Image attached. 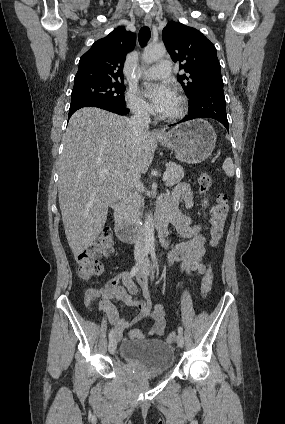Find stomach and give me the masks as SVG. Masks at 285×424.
<instances>
[{
	"mask_svg": "<svg viewBox=\"0 0 285 424\" xmlns=\"http://www.w3.org/2000/svg\"><path fill=\"white\" fill-rule=\"evenodd\" d=\"M216 138L213 127L207 121L196 119L174 127L157 141L174 151L178 160L195 164L211 155Z\"/></svg>",
	"mask_w": 285,
	"mask_h": 424,
	"instance_id": "1",
	"label": "stomach"
}]
</instances>
